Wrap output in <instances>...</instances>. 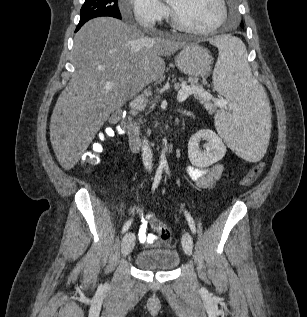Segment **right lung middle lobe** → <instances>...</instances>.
Segmentation results:
<instances>
[{"instance_id": "obj_1", "label": "right lung middle lobe", "mask_w": 307, "mask_h": 317, "mask_svg": "<svg viewBox=\"0 0 307 317\" xmlns=\"http://www.w3.org/2000/svg\"><path fill=\"white\" fill-rule=\"evenodd\" d=\"M80 12L79 23L81 24L100 16H111L121 19L118 0H85Z\"/></svg>"}]
</instances>
